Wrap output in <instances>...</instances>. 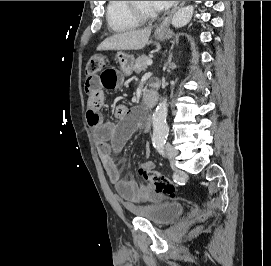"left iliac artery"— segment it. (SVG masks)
<instances>
[{
    "instance_id": "44dca946",
    "label": "left iliac artery",
    "mask_w": 271,
    "mask_h": 266,
    "mask_svg": "<svg viewBox=\"0 0 271 266\" xmlns=\"http://www.w3.org/2000/svg\"><path fill=\"white\" fill-rule=\"evenodd\" d=\"M165 140H162L158 143L157 145V150L159 151L160 154L164 155V147H165Z\"/></svg>"
}]
</instances>
